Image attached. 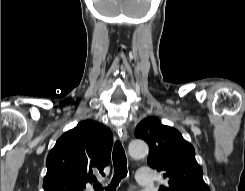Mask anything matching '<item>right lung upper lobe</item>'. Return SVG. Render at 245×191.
<instances>
[{
	"label": "right lung upper lobe",
	"instance_id": "right-lung-upper-lobe-1",
	"mask_svg": "<svg viewBox=\"0 0 245 191\" xmlns=\"http://www.w3.org/2000/svg\"><path fill=\"white\" fill-rule=\"evenodd\" d=\"M112 142L110 130L92 120L64 133L47 156L44 191H85L104 176Z\"/></svg>",
	"mask_w": 245,
	"mask_h": 191
}]
</instances>
